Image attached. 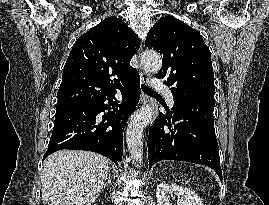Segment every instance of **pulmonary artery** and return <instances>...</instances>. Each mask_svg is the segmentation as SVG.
Returning <instances> with one entry per match:
<instances>
[{
	"instance_id": "1",
	"label": "pulmonary artery",
	"mask_w": 269,
	"mask_h": 205,
	"mask_svg": "<svg viewBox=\"0 0 269 205\" xmlns=\"http://www.w3.org/2000/svg\"><path fill=\"white\" fill-rule=\"evenodd\" d=\"M150 86L153 88V89H156V90H159V91H162L166 97H167V100H168V103L170 106H173V95H172V92L170 91V89H168L164 83L160 80V79H157V78H151L150 79Z\"/></svg>"
}]
</instances>
